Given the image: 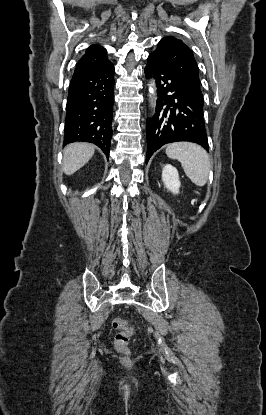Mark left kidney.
Masks as SVG:
<instances>
[{"mask_svg":"<svg viewBox=\"0 0 266 415\" xmlns=\"http://www.w3.org/2000/svg\"><path fill=\"white\" fill-rule=\"evenodd\" d=\"M162 181L169 191H171L174 194L179 193V174L175 167H173L170 164L164 166L162 170Z\"/></svg>","mask_w":266,"mask_h":415,"instance_id":"obj_1","label":"left kidney"}]
</instances>
